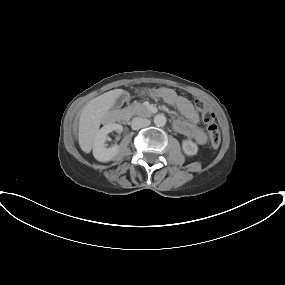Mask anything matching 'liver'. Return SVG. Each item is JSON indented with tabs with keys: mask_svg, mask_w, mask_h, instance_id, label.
<instances>
[{
	"mask_svg": "<svg viewBox=\"0 0 285 285\" xmlns=\"http://www.w3.org/2000/svg\"><path fill=\"white\" fill-rule=\"evenodd\" d=\"M119 90L108 91L91 100L81 112L78 127V141L83 152L89 153L101 122L114 105Z\"/></svg>",
	"mask_w": 285,
	"mask_h": 285,
	"instance_id": "liver-1",
	"label": "liver"
}]
</instances>
